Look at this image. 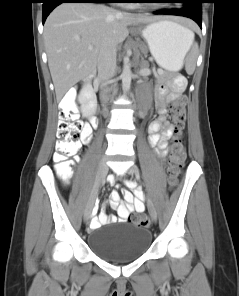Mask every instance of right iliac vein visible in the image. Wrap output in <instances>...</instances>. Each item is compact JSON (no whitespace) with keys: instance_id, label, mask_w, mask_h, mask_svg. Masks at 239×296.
Returning <instances> with one entry per match:
<instances>
[{"instance_id":"obj_1","label":"right iliac vein","mask_w":239,"mask_h":296,"mask_svg":"<svg viewBox=\"0 0 239 296\" xmlns=\"http://www.w3.org/2000/svg\"><path fill=\"white\" fill-rule=\"evenodd\" d=\"M107 173H108V166L106 164L105 159L103 158L100 161L99 165H98L96 183H95V186H94V188L92 190V193L90 195L87 207H86L85 212H84V220L85 221L88 220V218H89V216L91 214L92 208L94 206L95 200H96L97 195H98L99 187L103 184V182H104V180H105V178L107 176Z\"/></svg>"}]
</instances>
